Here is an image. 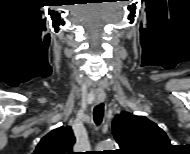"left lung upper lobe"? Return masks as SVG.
<instances>
[{
  "label": "left lung upper lobe",
  "mask_w": 190,
  "mask_h": 154,
  "mask_svg": "<svg viewBox=\"0 0 190 154\" xmlns=\"http://www.w3.org/2000/svg\"><path fill=\"white\" fill-rule=\"evenodd\" d=\"M112 129L119 154H163L171 148L165 132L144 116L122 111L116 115Z\"/></svg>",
  "instance_id": "5c2ea615"
}]
</instances>
